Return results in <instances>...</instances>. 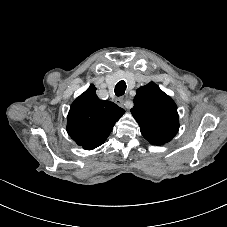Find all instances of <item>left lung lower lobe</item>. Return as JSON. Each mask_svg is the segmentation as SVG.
<instances>
[{
  "instance_id": "left-lung-lower-lobe-1",
  "label": "left lung lower lobe",
  "mask_w": 227,
  "mask_h": 227,
  "mask_svg": "<svg viewBox=\"0 0 227 227\" xmlns=\"http://www.w3.org/2000/svg\"><path fill=\"white\" fill-rule=\"evenodd\" d=\"M151 144H154V145H162L164 143L162 142H159L157 141L156 139L152 138V137H149V136H144Z\"/></svg>"
}]
</instances>
